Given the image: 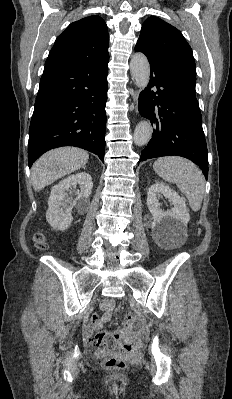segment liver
<instances>
[{
	"label": "liver",
	"instance_id": "obj_1",
	"mask_svg": "<svg viewBox=\"0 0 232 399\" xmlns=\"http://www.w3.org/2000/svg\"><path fill=\"white\" fill-rule=\"evenodd\" d=\"M88 160V152L79 148H57L43 154L31 170V182L35 192H40L59 178L80 170Z\"/></svg>",
	"mask_w": 232,
	"mask_h": 399
}]
</instances>
